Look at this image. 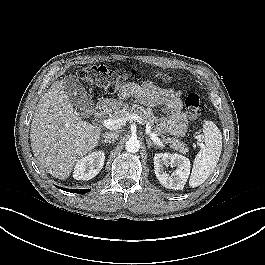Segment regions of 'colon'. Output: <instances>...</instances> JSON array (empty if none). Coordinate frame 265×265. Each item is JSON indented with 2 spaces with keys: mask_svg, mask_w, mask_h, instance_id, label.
I'll use <instances>...</instances> for the list:
<instances>
[{
  "mask_svg": "<svg viewBox=\"0 0 265 265\" xmlns=\"http://www.w3.org/2000/svg\"><path fill=\"white\" fill-rule=\"evenodd\" d=\"M77 77L83 82L103 88L108 93H115L122 90L128 79L127 73L114 72L103 65L86 66L78 70ZM165 82L172 80L171 75H161ZM186 114L191 122L198 123L202 119L203 108L200 98L196 93L188 94L185 99Z\"/></svg>",
  "mask_w": 265,
  "mask_h": 265,
  "instance_id": "5ec220e1",
  "label": "colon"
}]
</instances>
